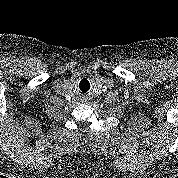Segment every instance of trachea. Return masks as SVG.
<instances>
[{
  "instance_id": "3493384b",
  "label": "trachea",
  "mask_w": 178,
  "mask_h": 178,
  "mask_svg": "<svg viewBox=\"0 0 178 178\" xmlns=\"http://www.w3.org/2000/svg\"><path fill=\"white\" fill-rule=\"evenodd\" d=\"M78 88L80 92L87 93L91 88L90 82L86 78H83L80 80Z\"/></svg>"
}]
</instances>
